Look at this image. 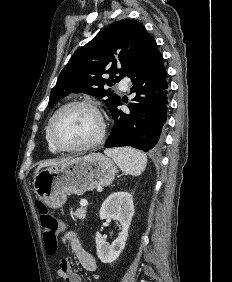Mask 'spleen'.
Returning <instances> with one entry per match:
<instances>
[{
  "label": "spleen",
  "mask_w": 232,
  "mask_h": 282,
  "mask_svg": "<svg viewBox=\"0 0 232 282\" xmlns=\"http://www.w3.org/2000/svg\"><path fill=\"white\" fill-rule=\"evenodd\" d=\"M119 168L130 175L141 174L147 164V157L139 150L133 148H113L105 150Z\"/></svg>",
  "instance_id": "obj_1"
}]
</instances>
